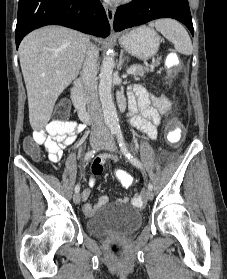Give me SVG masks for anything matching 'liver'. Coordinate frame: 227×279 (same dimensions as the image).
<instances>
[{
  "label": "liver",
  "mask_w": 227,
  "mask_h": 279,
  "mask_svg": "<svg viewBox=\"0 0 227 279\" xmlns=\"http://www.w3.org/2000/svg\"><path fill=\"white\" fill-rule=\"evenodd\" d=\"M90 39L61 26H47L29 33L19 46V59L33 130L51 118L59 95L78 76Z\"/></svg>",
  "instance_id": "1"
}]
</instances>
